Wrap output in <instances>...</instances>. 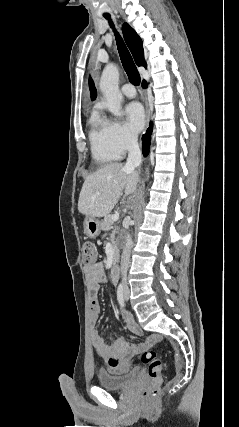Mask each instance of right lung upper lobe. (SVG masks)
<instances>
[{
    "mask_svg": "<svg viewBox=\"0 0 239 427\" xmlns=\"http://www.w3.org/2000/svg\"><path fill=\"white\" fill-rule=\"evenodd\" d=\"M122 32L136 64L138 66H144L146 68L147 65L144 61V50L141 38L137 35L135 30L127 23L123 24Z\"/></svg>",
    "mask_w": 239,
    "mask_h": 427,
    "instance_id": "obj_1",
    "label": "right lung upper lobe"
}]
</instances>
